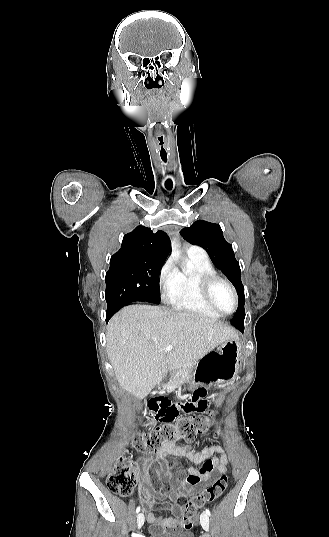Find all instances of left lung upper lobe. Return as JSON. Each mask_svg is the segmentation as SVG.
I'll return each mask as SVG.
<instances>
[{
  "mask_svg": "<svg viewBox=\"0 0 329 537\" xmlns=\"http://www.w3.org/2000/svg\"><path fill=\"white\" fill-rule=\"evenodd\" d=\"M181 234L189 243L204 248L213 263L234 285L239 296V305L231 323L241 331L244 328L245 318L244 286L241 282L240 266L235 259L232 245L224 239L220 225L198 220L190 227L183 228Z\"/></svg>",
  "mask_w": 329,
  "mask_h": 537,
  "instance_id": "obj_1",
  "label": "left lung upper lobe"
}]
</instances>
